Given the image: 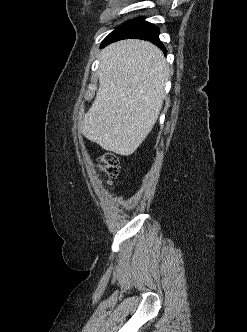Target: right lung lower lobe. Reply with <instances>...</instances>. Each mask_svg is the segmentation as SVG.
Returning a JSON list of instances; mask_svg holds the SVG:
<instances>
[{
    "instance_id": "right-lung-lower-lobe-1",
    "label": "right lung lower lobe",
    "mask_w": 247,
    "mask_h": 332,
    "mask_svg": "<svg viewBox=\"0 0 247 332\" xmlns=\"http://www.w3.org/2000/svg\"><path fill=\"white\" fill-rule=\"evenodd\" d=\"M158 35L159 29L154 24L144 21V18L141 17L117 27L103 40L101 47H105L115 41L136 38L152 41L155 45L162 48L166 54L165 47L160 42Z\"/></svg>"
}]
</instances>
